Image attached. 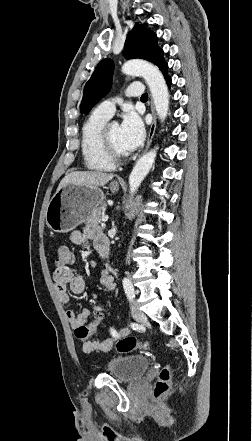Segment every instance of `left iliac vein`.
<instances>
[{"instance_id":"4c4485c4","label":"left iliac vein","mask_w":252,"mask_h":441,"mask_svg":"<svg viewBox=\"0 0 252 441\" xmlns=\"http://www.w3.org/2000/svg\"><path fill=\"white\" fill-rule=\"evenodd\" d=\"M131 313L136 320L144 318V313L140 310L139 305L136 303V301H133L131 304Z\"/></svg>"}]
</instances>
